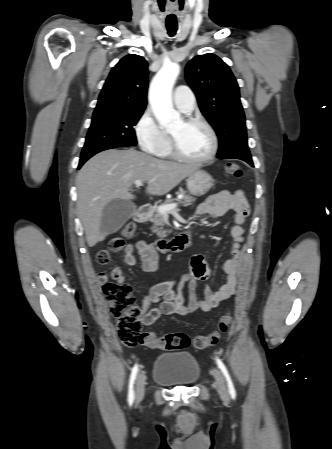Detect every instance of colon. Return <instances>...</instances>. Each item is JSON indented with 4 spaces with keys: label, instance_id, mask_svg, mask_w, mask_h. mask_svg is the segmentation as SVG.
Here are the masks:
<instances>
[{
    "label": "colon",
    "instance_id": "colon-1",
    "mask_svg": "<svg viewBox=\"0 0 332 449\" xmlns=\"http://www.w3.org/2000/svg\"><path fill=\"white\" fill-rule=\"evenodd\" d=\"M226 173L234 178L242 175V170L237 163L231 162L225 166ZM136 227L133 223L127 224L121 231V237L112 239L109 244L101 249L96 255L99 265H107L111 255L119 251L124 245V238L134 236ZM117 269L112 271V278L116 281L106 282V275L100 274V280L104 282V294L110 304L111 312L117 320V334L119 339L126 346H143L162 350L184 349L192 342L194 347L203 349L214 346L219 342L220 335L227 331L232 316L229 312L223 314L218 322V327L208 336L198 335L191 339L186 333H170L157 336L151 332L141 331L140 314L141 310L135 303V296L131 286L117 278Z\"/></svg>",
    "mask_w": 332,
    "mask_h": 449
}]
</instances>
